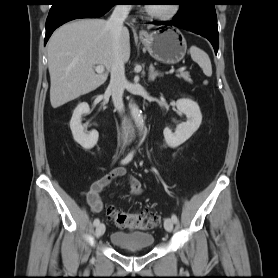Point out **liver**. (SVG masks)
Masks as SVG:
<instances>
[{
	"instance_id": "1",
	"label": "liver",
	"mask_w": 278,
	"mask_h": 278,
	"mask_svg": "<svg viewBox=\"0 0 278 278\" xmlns=\"http://www.w3.org/2000/svg\"><path fill=\"white\" fill-rule=\"evenodd\" d=\"M121 56L130 57V36L126 27L121 31ZM50 73V102L58 108L81 95L94 91L108 77L113 64L110 29L103 19H80L61 26L47 44ZM95 65L105 72L96 73Z\"/></svg>"
}]
</instances>
